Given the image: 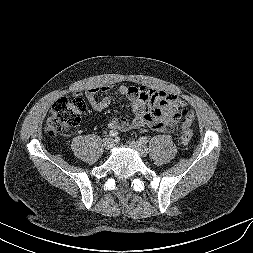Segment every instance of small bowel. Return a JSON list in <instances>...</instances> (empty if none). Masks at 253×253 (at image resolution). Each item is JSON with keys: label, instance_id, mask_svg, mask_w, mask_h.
<instances>
[{"label": "small bowel", "instance_id": "small-bowel-1", "mask_svg": "<svg viewBox=\"0 0 253 253\" xmlns=\"http://www.w3.org/2000/svg\"><path fill=\"white\" fill-rule=\"evenodd\" d=\"M99 93L106 95L98 99ZM74 95L78 97L82 93L77 91ZM84 95L95 111L106 109L116 97L128 99L134 116L132 119L122 116L113 118L109 122V128L116 131L149 127L154 131L168 132L178 121H181L182 130H188L194 120L192 111L183 100L175 94L156 88L122 85L109 93V87L101 86L89 88ZM185 110L189 111V116L184 115Z\"/></svg>", "mask_w": 253, "mask_h": 253}]
</instances>
